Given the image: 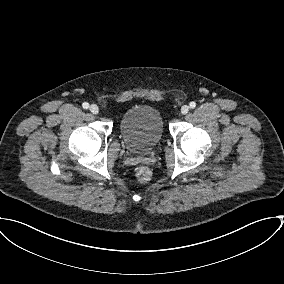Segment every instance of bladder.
<instances>
[{
	"label": "bladder",
	"mask_w": 284,
	"mask_h": 284,
	"mask_svg": "<svg viewBox=\"0 0 284 284\" xmlns=\"http://www.w3.org/2000/svg\"><path fill=\"white\" fill-rule=\"evenodd\" d=\"M119 130L127 148L132 153L143 155L160 142L163 135V119L156 108L136 105L122 115Z\"/></svg>",
	"instance_id": "bladder-1"
}]
</instances>
